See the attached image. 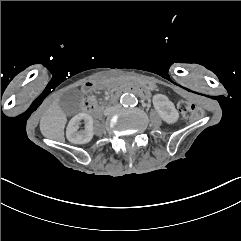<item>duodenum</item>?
<instances>
[{
  "instance_id": "1",
  "label": "duodenum",
  "mask_w": 241,
  "mask_h": 241,
  "mask_svg": "<svg viewBox=\"0 0 241 241\" xmlns=\"http://www.w3.org/2000/svg\"><path fill=\"white\" fill-rule=\"evenodd\" d=\"M98 86V83L93 82V83H89L85 89H84V93L86 95L84 104H85V108L94 116V117H99L102 113V109L101 107L96 106L92 99L89 97V93L91 91H93L96 87ZM125 93H132V94H136L142 98H146L148 96V91L139 88L137 86L134 85H128L125 86L119 90L114 91L109 99L108 102L109 103H113L115 102L119 97H121L123 94Z\"/></svg>"
}]
</instances>
